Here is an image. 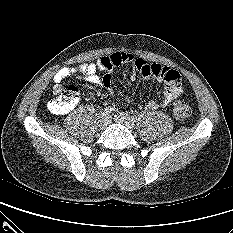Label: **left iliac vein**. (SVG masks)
Listing matches in <instances>:
<instances>
[{"label":"left iliac vein","mask_w":233,"mask_h":233,"mask_svg":"<svg viewBox=\"0 0 233 233\" xmlns=\"http://www.w3.org/2000/svg\"><path fill=\"white\" fill-rule=\"evenodd\" d=\"M114 120L117 123H121L125 125L129 129H133L134 122L130 119V117L125 113H117L114 115Z\"/></svg>","instance_id":"4c4485c4"}]
</instances>
